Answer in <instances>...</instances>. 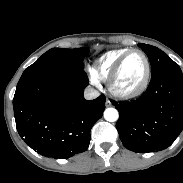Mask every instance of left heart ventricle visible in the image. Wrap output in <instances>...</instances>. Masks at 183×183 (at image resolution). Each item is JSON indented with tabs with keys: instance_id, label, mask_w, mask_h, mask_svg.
<instances>
[{
	"instance_id": "b2bd125f",
	"label": "left heart ventricle",
	"mask_w": 183,
	"mask_h": 183,
	"mask_svg": "<svg viewBox=\"0 0 183 183\" xmlns=\"http://www.w3.org/2000/svg\"><path fill=\"white\" fill-rule=\"evenodd\" d=\"M145 72L144 59L138 53L130 54L125 60L116 80V85L123 90L136 87Z\"/></svg>"
}]
</instances>
